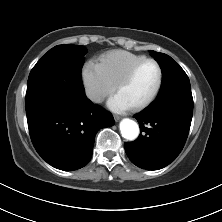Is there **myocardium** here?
<instances>
[{"label":"myocardium","instance_id":"myocardium-1","mask_svg":"<svg viewBox=\"0 0 222 222\" xmlns=\"http://www.w3.org/2000/svg\"><path fill=\"white\" fill-rule=\"evenodd\" d=\"M146 63H153L156 66V68L158 70V82H157V85H156L154 91L152 92V94L149 96L148 99H146L144 102H142L140 104L132 106V109L134 111H140V110L147 108L157 98V96L162 88V84H163V70H162L161 65L155 59H152V58L143 59V60L137 62L136 64H134L115 85L116 91L121 89L123 86H125L126 84H128L132 80V78L134 77V75L138 71V69Z\"/></svg>","mask_w":222,"mask_h":222}]
</instances>
